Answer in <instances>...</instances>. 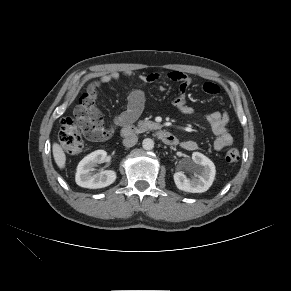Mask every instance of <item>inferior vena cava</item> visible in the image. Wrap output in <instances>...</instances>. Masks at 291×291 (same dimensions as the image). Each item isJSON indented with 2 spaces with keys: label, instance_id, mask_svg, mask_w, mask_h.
<instances>
[{
  "label": "inferior vena cava",
  "instance_id": "602c4592",
  "mask_svg": "<svg viewBox=\"0 0 291 291\" xmlns=\"http://www.w3.org/2000/svg\"><path fill=\"white\" fill-rule=\"evenodd\" d=\"M137 141L138 137L135 134H133L123 139V145L125 147H132L137 143Z\"/></svg>",
  "mask_w": 291,
  "mask_h": 291
}]
</instances>
